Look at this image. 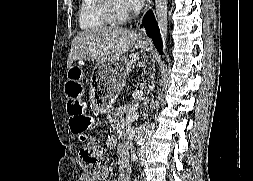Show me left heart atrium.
Returning a JSON list of instances; mask_svg holds the SVG:
<instances>
[{"instance_id":"left-heart-atrium-1","label":"left heart atrium","mask_w":253,"mask_h":181,"mask_svg":"<svg viewBox=\"0 0 253 181\" xmlns=\"http://www.w3.org/2000/svg\"><path fill=\"white\" fill-rule=\"evenodd\" d=\"M145 0H123V4L127 10H136L143 6Z\"/></svg>"}]
</instances>
